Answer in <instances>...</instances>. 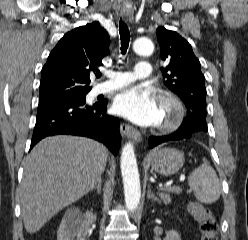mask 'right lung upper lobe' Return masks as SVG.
I'll return each instance as SVG.
<instances>
[{
  "label": "right lung upper lobe",
  "mask_w": 248,
  "mask_h": 240,
  "mask_svg": "<svg viewBox=\"0 0 248 240\" xmlns=\"http://www.w3.org/2000/svg\"><path fill=\"white\" fill-rule=\"evenodd\" d=\"M110 38L99 22L66 33L42 68L39 101L88 93L90 73L102 65Z\"/></svg>",
  "instance_id": "1"
}]
</instances>
